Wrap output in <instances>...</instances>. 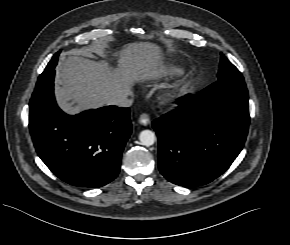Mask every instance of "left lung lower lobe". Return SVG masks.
I'll use <instances>...</instances> for the list:
<instances>
[{
  "label": "left lung lower lobe",
  "mask_w": 290,
  "mask_h": 245,
  "mask_svg": "<svg viewBox=\"0 0 290 245\" xmlns=\"http://www.w3.org/2000/svg\"><path fill=\"white\" fill-rule=\"evenodd\" d=\"M249 119L244 80L217 81L197 96H186L174 111L152 123L161 174L185 187L213 181L242 150Z\"/></svg>",
  "instance_id": "0a47b994"
}]
</instances>
